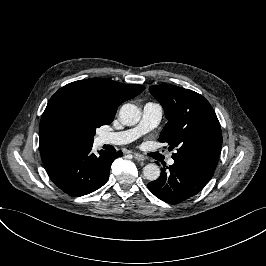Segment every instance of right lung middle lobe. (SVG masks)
<instances>
[{
    "label": "right lung middle lobe",
    "instance_id": "dd1d6c3e",
    "mask_svg": "<svg viewBox=\"0 0 266 266\" xmlns=\"http://www.w3.org/2000/svg\"><path fill=\"white\" fill-rule=\"evenodd\" d=\"M66 121L76 132L80 145H92L96 128L110 124L87 97H78L72 100L64 109Z\"/></svg>",
    "mask_w": 266,
    "mask_h": 266
}]
</instances>
